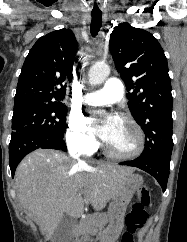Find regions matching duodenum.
Masks as SVG:
<instances>
[{
  "label": "duodenum",
  "instance_id": "obj_1",
  "mask_svg": "<svg viewBox=\"0 0 187 242\" xmlns=\"http://www.w3.org/2000/svg\"><path fill=\"white\" fill-rule=\"evenodd\" d=\"M78 230H79V225H75L74 228H73V231H74L75 233H77Z\"/></svg>",
  "mask_w": 187,
  "mask_h": 242
}]
</instances>
